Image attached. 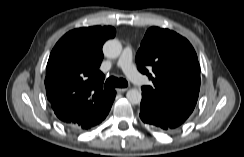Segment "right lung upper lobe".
<instances>
[{"label": "right lung upper lobe", "instance_id": "right-lung-upper-lobe-1", "mask_svg": "<svg viewBox=\"0 0 244 157\" xmlns=\"http://www.w3.org/2000/svg\"><path fill=\"white\" fill-rule=\"evenodd\" d=\"M115 34L111 26L78 28L53 48L46 67V95L63 123L86 130L111 104L114 90H103L105 76L98 68L102 46Z\"/></svg>", "mask_w": 244, "mask_h": 157}]
</instances>
